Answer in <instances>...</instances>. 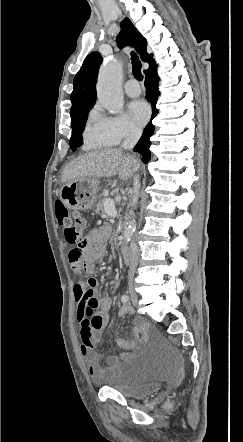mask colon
<instances>
[{
    "label": "colon",
    "mask_w": 243,
    "mask_h": 442,
    "mask_svg": "<svg viewBox=\"0 0 243 442\" xmlns=\"http://www.w3.org/2000/svg\"><path fill=\"white\" fill-rule=\"evenodd\" d=\"M58 224L63 228V235L68 245L72 246L68 259L73 264L81 262L85 257L86 227L85 219L77 212H71L65 203L57 200L54 205Z\"/></svg>",
    "instance_id": "colon-1"
}]
</instances>
